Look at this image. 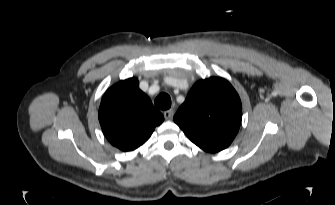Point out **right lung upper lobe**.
Returning <instances> with one entry per match:
<instances>
[{
	"instance_id": "1",
	"label": "right lung upper lobe",
	"mask_w": 335,
	"mask_h": 205,
	"mask_svg": "<svg viewBox=\"0 0 335 205\" xmlns=\"http://www.w3.org/2000/svg\"><path fill=\"white\" fill-rule=\"evenodd\" d=\"M164 120L135 78L122 80L104 94L99 122L109 142L122 151H131L146 142Z\"/></svg>"
}]
</instances>
